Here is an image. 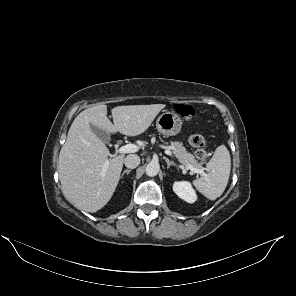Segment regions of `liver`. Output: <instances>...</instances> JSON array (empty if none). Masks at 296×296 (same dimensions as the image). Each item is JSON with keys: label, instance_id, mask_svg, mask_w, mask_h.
I'll list each match as a JSON object with an SVG mask.
<instances>
[{"label": "liver", "instance_id": "6515ba94", "mask_svg": "<svg viewBox=\"0 0 296 296\" xmlns=\"http://www.w3.org/2000/svg\"><path fill=\"white\" fill-rule=\"evenodd\" d=\"M163 108L165 104L118 106L111 111L114 124L107 117L106 105L83 110L71 124L59 154L58 172L65 198L76 208L94 213L109 202L118 185L124 155L109 158L108 148L91 126L108 134L137 136ZM107 160L109 165L104 168Z\"/></svg>", "mask_w": 296, "mask_h": 296}]
</instances>
